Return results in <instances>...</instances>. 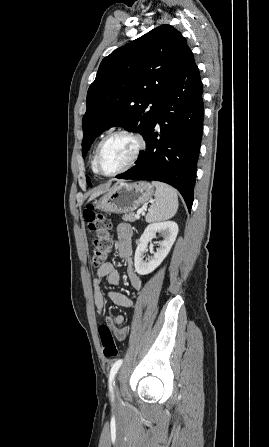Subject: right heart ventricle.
Wrapping results in <instances>:
<instances>
[{
    "mask_svg": "<svg viewBox=\"0 0 269 447\" xmlns=\"http://www.w3.org/2000/svg\"><path fill=\"white\" fill-rule=\"evenodd\" d=\"M97 146L98 144L95 146L94 150H93V154H92V161H91V167L92 170L95 174H99L97 168H96V164H95V157H96V150H97Z\"/></svg>",
    "mask_w": 269,
    "mask_h": 447,
    "instance_id": "right-heart-ventricle-1",
    "label": "right heart ventricle"
}]
</instances>
